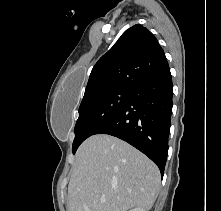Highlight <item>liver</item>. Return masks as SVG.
Instances as JSON below:
<instances>
[{
	"instance_id": "liver-1",
	"label": "liver",
	"mask_w": 221,
	"mask_h": 211,
	"mask_svg": "<svg viewBox=\"0 0 221 211\" xmlns=\"http://www.w3.org/2000/svg\"><path fill=\"white\" fill-rule=\"evenodd\" d=\"M160 181L158 167L137 149L114 136L94 135L76 152L68 185L69 211L150 210Z\"/></svg>"
}]
</instances>
